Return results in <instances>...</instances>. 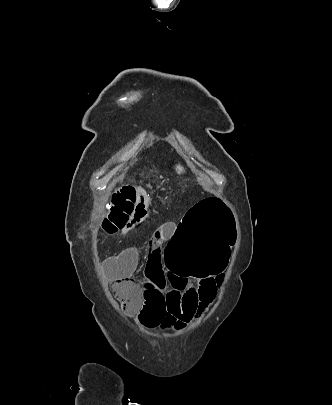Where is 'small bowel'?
I'll return each mask as SVG.
<instances>
[{
    "label": "small bowel",
    "mask_w": 332,
    "mask_h": 405,
    "mask_svg": "<svg viewBox=\"0 0 332 405\" xmlns=\"http://www.w3.org/2000/svg\"><path fill=\"white\" fill-rule=\"evenodd\" d=\"M148 190L147 183L140 185L137 208H132L130 212L132 217L138 219L131 227L143 222L148 216ZM174 230L175 225H163L154 231L149 241L145 271L138 280L139 292H143L138 326L180 330L202 313L215 297L216 285L213 275H205L203 281H194L189 275H170V272L164 269L161 245L172 240ZM138 254L137 248H125L105 258L103 266L117 281L128 278L136 269Z\"/></svg>",
    "instance_id": "c3829d8e"
}]
</instances>
